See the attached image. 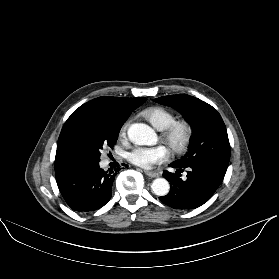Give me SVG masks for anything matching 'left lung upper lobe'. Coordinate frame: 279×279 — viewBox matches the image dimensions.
I'll return each mask as SVG.
<instances>
[{
    "mask_svg": "<svg viewBox=\"0 0 279 279\" xmlns=\"http://www.w3.org/2000/svg\"><path fill=\"white\" fill-rule=\"evenodd\" d=\"M154 101L175 108L192 126L189 150L173 164L179 167L208 164L226 173L230 160V145L225 124L217 110L187 94L163 96Z\"/></svg>",
    "mask_w": 279,
    "mask_h": 279,
    "instance_id": "1",
    "label": "left lung upper lobe"
}]
</instances>
